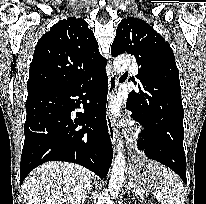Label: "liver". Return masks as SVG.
<instances>
[{
	"mask_svg": "<svg viewBox=\"0 0 206 204\" xmlns=\"http://www.w3.org/2000/svg\"><path fill=\"white\" fill-rule=\"evenodd\" d=\"M92 173L77 164L52 161L34 169L22 184L26 204H82Z\"/></svg>",
	"mask_w": 206,
	"mask_h": 204,
	"instance_id": "6515ba94",
	"label": "liver"
}]
</instances>
